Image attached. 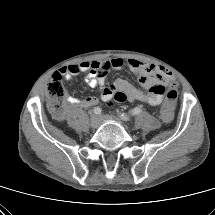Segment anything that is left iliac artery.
Returning <instances> with one entry per match:
<instances>
[{
	"instance_id": "left-iliac-artery-1",
	"label": "left iliac artery",
	"mask_w": 215,
	"mask_h": 215,
	"mask_svg": "<svg viewBox=\"0 0 215 215\" xmlns=\"http://www.w3.org/2000/svg\"><path fill=\"white\" fill-rule=\"evenodd\" d=\"M141 111H142L141 108L135 107L133 110H131L130 114L131 115H138V114L141 113ZM120 117L124 121H129L130 120L129 116L127 114H125V113L120 114Z\"/></svg>"
}]
</instances>
